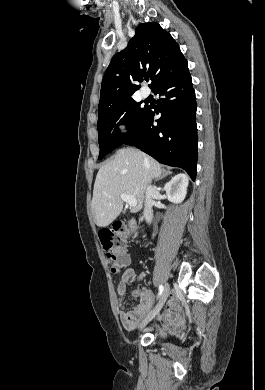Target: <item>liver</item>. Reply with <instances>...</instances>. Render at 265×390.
Wrapping results in <instances>:
<instances>
[{
	"mask_svg": "<svg viewBox=\"0 0 265 390\" xmlns=\"http://www.w3.org/2000/svg\"><path fill=\"white\" fill-rule=\"evenodd\" d=\"M160 176L163 170L154 158L134 148L119 149L96 176L92 199L95 224L105 227L117 218L123 209V193L135 197L137 205L131 212H139L147 186Z\"/></svg>",
	"mask_w": 265,
	"mask_h": 390,
	"instance_id": "obj_1",
	"label": "liver"
}]
</instances>
